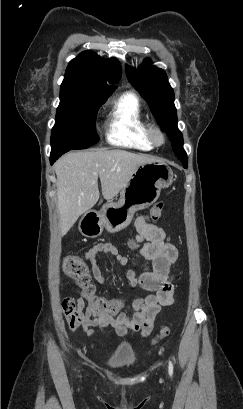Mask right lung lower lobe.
<instances>
[{
  "mask_svg": "<svg viewBox=\"0 0 243 409\" xmlns=\"http://www.w3.org/2000/svg\"><path fill=\"white\" fill-rule=\"evenodd\" d=\"M64 153H65L64 151L51 152L50 157L51 164H53Z\"/></svg>",
  "mask_w": 243,
  "mask_h": 409,
  "instance_id": "1",
  "label": "right lung lower lobe"
}]
</instances>
